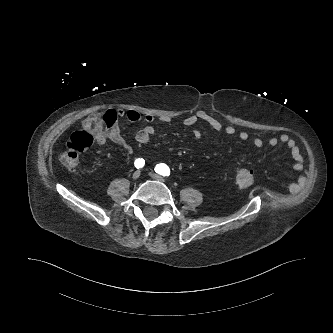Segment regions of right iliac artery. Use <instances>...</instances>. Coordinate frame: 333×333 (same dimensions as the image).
<instances>
[{
	"instance_id": "obj_1",
	"label": "right iliac artery",
	"mask_w": 333,
	"mask_h": 333,
	"mask_svg": "<svg viewBox=\"0 0 333 333\" xmlns=\"http://www.w3.org/2000/svg\"><path fill=\"white\" fill-rule=\"evenodd\" d=\"M134 165L137 169L144 167L145 160L143 158H138L135 160Z\"/></svg>"
}]
</instances>
